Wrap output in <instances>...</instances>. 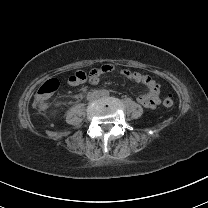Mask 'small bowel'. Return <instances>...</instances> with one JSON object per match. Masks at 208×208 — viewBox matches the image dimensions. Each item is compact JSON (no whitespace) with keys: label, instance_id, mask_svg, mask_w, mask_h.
Segmentation results:
<instances>
[{"label":"small bowel","instance_id":"c3829d8e","mask_svg":"<svg viewBox=\"0 0 208 208\" xmlns=\"http://www.w3.org/2000/svg\"><path fill=\"white\" fill-rule=\"evenodd\" d=\"M116 64H108L102 68H96L88 73L89 82L95 84L99 81L100 77L106 73L111 72L113 69H116ZM121 74L129 79H132L138 83L143 84L146 87V93L138 96V102L146 108H153L157 105L159 101V87L155 81L147 74L131 71L128 69H123ZM71 85H77L70 83ZM45 100L43 101V103Z\"/></svg>","mask_w":208,"mask_h":208}]
</instances>
